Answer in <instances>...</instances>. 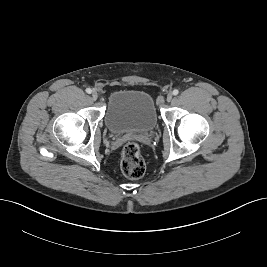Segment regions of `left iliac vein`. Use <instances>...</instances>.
Returning <instances> with one entry per match:
<instances>
[{"mask_svg":"<svg viewBox=\"0 0 267 267\" xmlns=\"http://www.w3.org/2000/svg\"><path fill=\"white\" fill-rule=\"evenodd\" d=\"M172 98H173L172 93H169V94L167 95V97H166V100H167L168 102H170V101L172 100Z\"/></svg>","mask_w":267,"mask_h":267,"instance_id":"4c4485c4","label":"left iliac vein"}]
</instances>
